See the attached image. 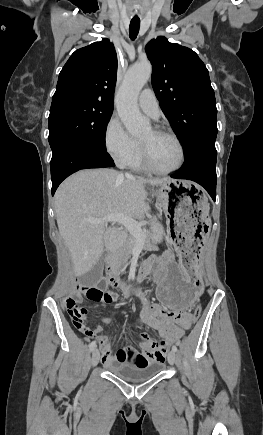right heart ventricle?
I'll return each mask as SVG.
<instances>
[{"mask_svg":"<svg viewBox=\"0 0 263 435\" xmlns=\"http://www.w3.org/2000/svg\"><path fill=\"white\" fill-rule=\"evenodd\" d=\"M141 147V145H140ZM133 170L136 171H146L147 168L144 165L143 156H142V149H140V152L136 159L129 165Z\"/></svg>","mask_w":263,"mask_h":435,"instance_id":"right-heart-ventricle-1","label":"right heart ventricle"}]
</instances>
